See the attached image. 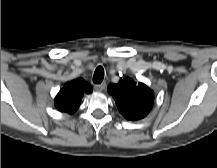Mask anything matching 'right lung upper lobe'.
<instances>
[{"label": "right lung upper lobe", "instance_id": "right-lung-upper-lobe-1", "mask_svg": "<svg viewBox=\"0 0 217 168\" xmlns=\"http://www.w3.org/2000/svg\"><path fill=\"white\" fill-rule=\"evenodd\" d=\"M91 91V86L83 78L67 82L55 98V107L61 112L73 114L78 109L83 95Z\"/></svg>", "mask_w": 217, "mask_h": 168}]
</instances>
